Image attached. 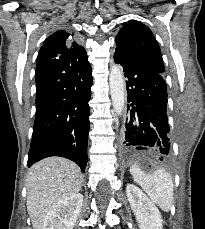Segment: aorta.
<instances>
[{
    "label": "aorta",
    "mask_w": 205,
    "mask_h": 229,
    "mask_svg": "<svg viewBox=\"0 0 205 229\" xmlns=\"http://www.w3.org/2000/svg\"><path fill=\"white\" fill-rule=\"evenodd\" d=\"M109 85L113 110L116 115H121L125 102V81L122 68L119 65H113L110 68Z\"/></svg>",
    "instance_id": "1"
}]
</instances>
